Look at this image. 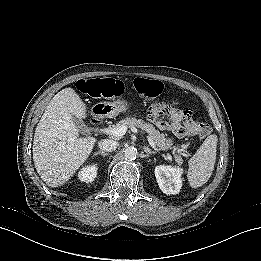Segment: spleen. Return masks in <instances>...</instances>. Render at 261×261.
I'll return each mask as SVG.
<instances>
[{"mask_svg": "<svg viewBox=\"0 0 261 261\" xmlns=\"http://www.w3.org/2000/svg\"><path fill=\"white\" fill-rule=\"evenodd\" d=\"M216 160V151L206 139L202 146L188 161L187 178L192 188L203 185L211 176Z\"/></svg>", "mask_w": 261, "mask_h": 261, "instance_id": "obj_1", "label": "spleen"}]
</instances>
